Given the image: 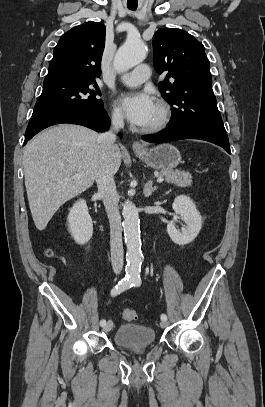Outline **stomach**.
Here are the masks:
<instances>
[{"mask_svg": "<svg viewBox=\"0 0 265 407\" xmlns=\"http://www.w3.org/2000/svg\"><path fill=\"white\" fill-rule=\"evenodd\" d=\"M146 165L161 171L173 170L181 162L179 150L171 144H160L150 149L135 151Z\"/></svg>", "mask_w": 265, "mask_h": 407, "instance_id": "stomach-1", "label": "stomach"}]
</instances>
